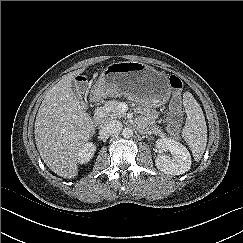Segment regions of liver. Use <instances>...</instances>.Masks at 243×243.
<instances>
[{"mask_svg":"<svg viewBox=\"0 0 243 243\" xmlns=\"http://www.w3.org/2000/svg\"><path fill=\"white\" fill-rule=\"evenodd\" d=\"M78 69L61 78L46 93L35 120V141L44 163L58 176L74 178L77 156L95 133L92 118L72 88Z\"/></svg>","mask_w":243,"mask_h":243,"instance_id":"6515ba94","label":"liver"}]
</instances>
